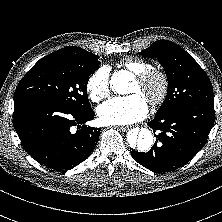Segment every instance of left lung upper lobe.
I'll return each instance as SVG.
<instances>
[{
	"mask_svg": "<svg viewBox=\"0 0 222 222\" xmlns=\"http://www.w3.org/2000/svg\"><path fill=\"white\" fill-rule=\"evenodd\" d=\"M157 58L168 79V92L156 115L190 103H214L213 88L206 72L179 45L160 40L139 53Z\"/></svg>",
	"mask_w": 222,
	"mask_h": 222,
	"instance_id": "5c2ea615",
	"label": "left lung upper lobe"
}]
</instances>
